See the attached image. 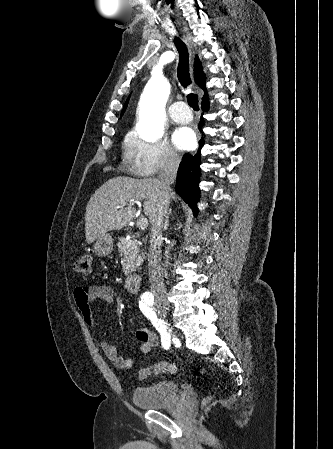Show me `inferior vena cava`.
I'll return each mask as SVG.
<instances>
[{
    "instance_id": "602c4592",
    "label": "inferior vena cava",
    "mask_w": 333,
    "mask_h": 449,
    "mask_svg": "<svg viewBox=\"0 0 333 449\" xmlns=\"http://www.w3.org/2000/svg\"><path fill=\"white\" fill-rule=\"evenodd\" d=\"M179 163L180 159L175 154H171L168 157V161L163 172L159 176L161 182V195L157 206V213L155 215L154 222L152 223L148 251L149 280L151 283L150 289L156 297L163 296L165 294L163 269L160 264L162 253V231L169 207L171 194L170 185L176 180Z\"/></svg>"
}]
</instances>
